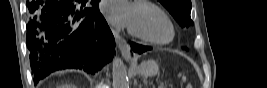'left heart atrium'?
<instances>
[{
    "label": "left heart atrium",
    "instance_id": "left-heart-atrium-1",
    "mask_svg": "<svg viewBox=\"0 0 267 88\" xmlns=\"http://www.w3.org/2000/svg\"><path fill=\"white\" fill-rule=\"evenodd\" d=\"M102 11L108 21L117 26H130L133 6L126 0H110L102 5Z\"/></svg>",
    "mask_w": 267,
    "mask_h": 88
}]
</instances>
